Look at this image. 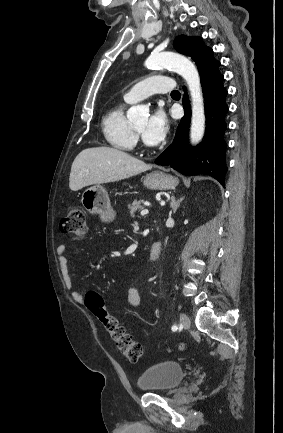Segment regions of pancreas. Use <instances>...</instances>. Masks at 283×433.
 Segmentation results:
<instances>
[{"label":"pancreas","mask_w":283,"mask_h":433,"mask_svg":"<svg viewBox=\"0 0 283 433\" xmlns=\"http://www.w3.org/2000/svg\"><path fill=\"white\" fill-rule=\"evenodd\" d=\"M142 202H145V200H133L132 204H128L130 217H135L134 212H136L138 208H143Z\"/></svg>","instance_id":"cf45deb5"}]
</instances>
